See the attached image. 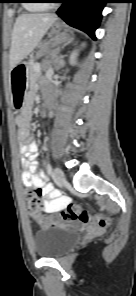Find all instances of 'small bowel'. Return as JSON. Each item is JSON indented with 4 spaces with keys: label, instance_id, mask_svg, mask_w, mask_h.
<instances>
[{
    "label": "small bowel",
    "instance_id": "small-bowel-1",
    "mask_svg": "<svg viewBox=\"0 0 136 296\" xmlns=\"http://www.w3.org/2000/svg\"><path fill=\"white\" fill-rule=\"evenodd\" d=\"M43 85L47 86L46 82ZM36 98L34 91L28 93L26 107L16 116L18 139L20 142L21 165L23 168L22 181L27 187H35L43 197L42 210L52 213L61 210L69 203V198L61 196L60 192L47 182L40 167L37 156V144L30 134L31 117L34 112L33 102Z\"/></svg>",
    "mask_w": 136,
    "mask_h": 296
}]
</instances>
